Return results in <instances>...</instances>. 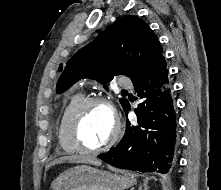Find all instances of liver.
Returning a JSON list of instances; mask_svg holds the SVG:
<instances>
[{
	"instance_id": "liver-1",
	"label": "liver",
	"mask_w": 221,
	"mask_h": 190,
	"mask_svg": "<svg viewBox=\"0 0 221 190\" xmlns=\"http://www.w3.org/2000/svg\"><path fill=\"white\" fill-rule=\"evenodd\" d=\"M86 163V164H92V165H101V161L93 156L88 155H69V156H62L59 157L52 162H50L46 169L48 170L50 167L56 165V164H62V163Z\"/></svg>"
}]
</instances>
